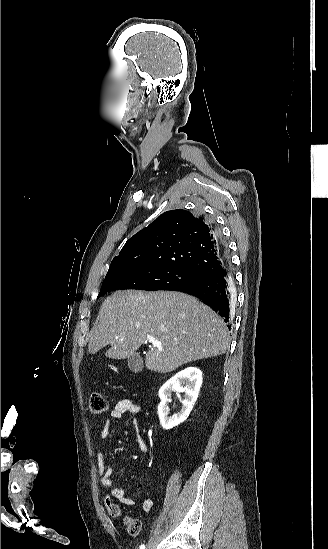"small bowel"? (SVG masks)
Returning <instances> with one entry per match:
<instances>
[{
	"label": "small bowel",
	"instance_id": "obj_1",
	"mask_svg": "<svg viewBox=\"0 0 328 549\" xmlns=\"http://www.w3.org/2000/svg\"><path fill=\"white\" fill-rule=\"evenodd\" d=\"M140 409H141L140 405L130 399L120 400L111 410L108 416V419L101 430L100 438L103 440L109 436L112 425L116 420L121 419L126 414L135 415L140 411ZM133 425L137 431V442H138L139 449L142 453H146L147 445L145 440L138 433V423L135 419L133 420ZM96 460H97L98 473L101 478L102 486L110 489V495L113 498L117 499L120 503L127 506L133 505L135 501L131 497L127 496L126 491L124 489L117 488L114 486V483L112 480L113 471L107 465L105 456L102 452H98L96 454ZM152 506H153V501L151 499H146L143 502L142 509L147 512L151 510Z\"/></svg>",
	"mask_w": 328,
	"mask_h": 549
}]
</instances>
